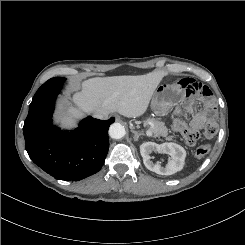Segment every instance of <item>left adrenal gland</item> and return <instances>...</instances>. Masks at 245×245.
<instances>
[{
    "instance_id": "1",
    "label": "left adrenal gland",
    "mask_w": 245,
    "mask_h": 245,
    "mask_svg": "<svg viewBox=\"0 0 245 245\" xmlns=\"http://www.w3.org/2000/svg\"><path fill=\"white\" fill-rule=\"evenodd\" d=\"M131 132L134 134V141H138L139 137L143 135L142 133H139L137 131L131 130Z\"/></svg>"
}]
</instances>
